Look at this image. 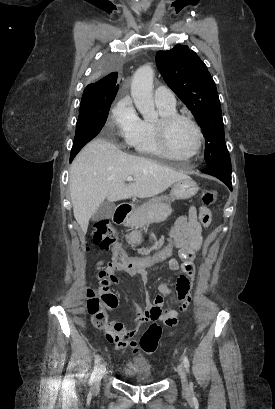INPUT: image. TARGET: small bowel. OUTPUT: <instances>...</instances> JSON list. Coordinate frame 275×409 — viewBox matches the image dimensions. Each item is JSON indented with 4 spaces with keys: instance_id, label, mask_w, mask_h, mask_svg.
<instances>
[{
    "instance_id": "small-bowel-1",
    "label": "small bowel",
    "mask_w": 275,
    "mask_h": 409,
    "mask_svg": "<svg viewBox=\"0 0 275 409\" xmlns=\"http://www.w3.org/2000/svg\"><path fill=\"white\" fill-rule=\"evenodd\" d=\"M210 221L211 213L208 208L201 207L198 210L197 215L196 208L191 207L188 216L180 217L175 225L174 239L179 246V257H173L169 261V267L174 271L181 272L176 281V294L180 301V305L177 309H162L161 307L164 297L168 296L172 291V282L163 283L158 287V295L154 299L153 304L149 307L142 308L132 295H125L127 302L133 308L139 321H153L152 325L145 326V333L141 334L139 340V345L141 347L139 351L141 353L145 351L147 355H156L158 347L162 345V340L159 338V333L161 332L159 321H162L169 326L175 325L179 313L187 310L191 304L196 255L203 243L202 227H207L210 224ZM141 267L142 268L138 270V274L142 281L146 282V267ZM109 278L113 279L114 275L110 274ZM111 283L116 287L120 282L115 278ZM132 325L136 326L137 322L133 321ZM133 336V330H127L122 322H114L112 330H109L105 334L104 339L106 342H110L113 345L115 351H126L127 349L136 350L137 342Z\"/></svg>"
}]
</instances>
